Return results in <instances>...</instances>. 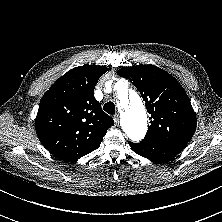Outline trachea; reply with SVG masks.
<instances>
[{
	"instance_id": "trachea-1",
	"label": "trachea",
	"mask_w": 222,
	"mask_h": 222,
	"mask_svg": "<svg viewBox=\"0 0 222 222\" xmlns=\"http://www.w3.org/2000/svg\"><path fill=\"white\" fill-rule=\"evenodd\" d=\"M103 110H104L105 112H107L108 114H110V115H114L115 112H116V110H115V104H114L113 102L109 101V102H107V103L104 104Z\"/></svg>"
}]
</instances>
